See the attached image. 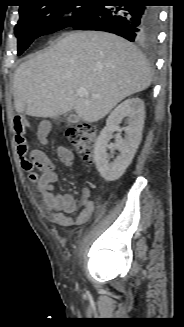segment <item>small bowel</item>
<instances>
[{
    "instance_id": "c3829d8e",
    "label": "small bowel",
    "mask_w": 184,
    "mask_h": 327,
    "mask_svg": "<svg viewBox=\"0 0 184 327\" xmlns=\"http://www.w3.org/2000/svg\"><path fill=\"white\" fill-rule=\"evenodd\" d=\"M50 131V123L40 124L37 130V138L41 144H47ZM19 156L21 166L27 171L29 180L37 184L44 212L50 221L61 226L70 227L75 224H83L92 216L96 204L89 200L87 196L84 198L83 208L79 215L75 219L67 216V214H72L77 210V202L71 194H56L54 192V186L58 182V174L54 163L43 151L34 150L30 159L25 158V155L21 156L19 154ZM57 156L62 164L67 167L72 166L74 155L68 146H59ZM36 169L40 170L41 174H38Z\"/></svg>"
}]
</instances>
